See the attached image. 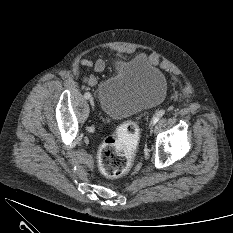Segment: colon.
I'll return each instance as SVG.
<instances>
[{"label":"colon","mask_w":233,"mask_h":233,"mask_svg":"<svg viewBox=\"0 0 233 233\" xmlns=\"http://www.w3.org/2000/svg\"><path fill=\"white\" fill-rule=\"evenodd\" d=\"M139 138L138 126L126 121L106 138L98 152V166L108 179H117L125 175L130 166Z\"/></svg>","instance_id":"colon-1"}]
</instances>
